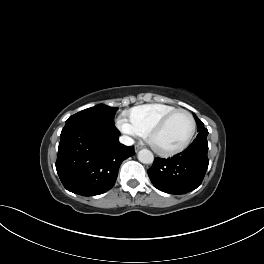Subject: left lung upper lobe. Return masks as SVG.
Here are the masks:
<instances>
[{
  "instance_id": "1",
  "label": "left lung upper lobe",
  "mask_w": 264,
  "mask_h": 264,
  "mask_svg": "<svg viewBox=\"0 0 264 264\" xmlns=\"http://www.w3.org/2000/svg\"><path fill=\"white\" fill-rule=\"evenodd\" d=\"M194 118L196 120L199 132L196 139H207L208 130L204 127L203 122L197 116H194Z\"/></svg>"
}]
</instances>
